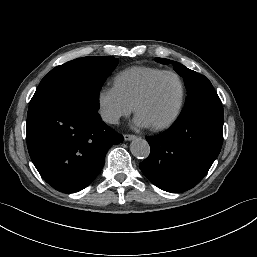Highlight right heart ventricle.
<instances>
[{"label":"right heart ventricle","mask_w":257,"mask_h":257,"mask_svg":"<svg viewBox=\"0 0 257 257\" xmlns=\"http://www.w3.org/2000/svg\"><path fill=\"white\" fill-rule=\"evenodd\" d=\"M164 70L148 66H135L120 72L114 79V87L132 105L147 83Z\"/></svg>","instance_id":"e07e8e85"}]
</instances>
